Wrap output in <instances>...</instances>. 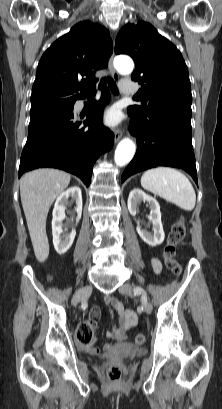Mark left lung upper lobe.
I'll return each mask as SVG.
<instances>
[{
	"label": "left lung upper lobe",
	"mask_w": 222,
	"mask_h": 409,
	"mask_svg": "<svg viewBox=\"0 0 222 409\" xmlns=\"http://www.w3.org/2000/svg\"><path fill=\"white\" fill-rule=\"evenodd\" d=\"M116 54H128L135 62L132 80L141 84V106L128 111L148 116L167 110L182 112L191 118V84L180 51L149 23L127 24L119 32Z\"/></svg>",
	"instance_id": "1"
}]
</instances>
